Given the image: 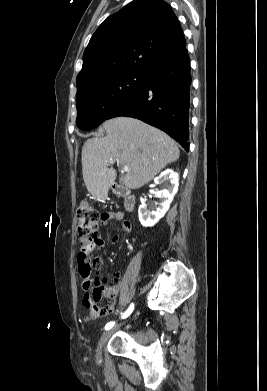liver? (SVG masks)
I'll list each match as a JSON object with an SVG mask.
<instances>
[{
    "label": "liver",
    "instance_id": "1",
    "mask_svg": "<svg viewBox=\"0 0 267 391\" xmlns=\"http://www.w3.org/2000/svg\"><path fill=\"white\" fill-rule=\"evenodd\" d=\"M104 138L88 139L82 148V174L88 192L99 200L108 196L116 171L108 161L128 166L123 177L127 188L138 189L149 183L180 151L167 134L140 120L116 117L103 123Z\"/></svg>",
    "mask_w": 267,
    "mask_h": 391
}]
</instances>
